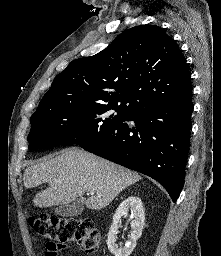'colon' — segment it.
Listing matches in <instances>:
<instances>
[{
  "label": "colon",
  "mask_w": 221,
  "mask_h": 256,
  "mask_svg": "<svg viewBox=\"0 0 221 256\" xmlns=\"http://www.w3.org/2000/svg\"><path fill=\"white\" fill-rule=\"evenodd\" d=\"M31 229L48 240L47 251L55 256L72 242L88 253H95L101 237L94 222L87 218H57L46 213L29 218Z\"/></svg>",
  "instance_id": "obj_1"
}]
</instances>
